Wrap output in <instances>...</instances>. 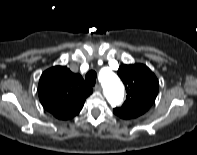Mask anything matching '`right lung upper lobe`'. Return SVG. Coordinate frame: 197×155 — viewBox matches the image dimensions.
Wrapping results in <instances>:
<instances>
[{
	"mask_svg": "<svg viewBox=\"0 0 197 155\" xmlns=\"http://www.w3.org/2000/svg\"><path fill=\"white\" fill-rule=\"evenodd\" d=\"M92 91L79 74L72 73L65 66L46 70L38 85L39 99L43 107L61 120L76 116Z\"/></svg>",
	"mask_w": 197,
	"mask_h": 155,
	"instance_id": "1",
	"label": "right lung upper lobe"
}]
</instances>
